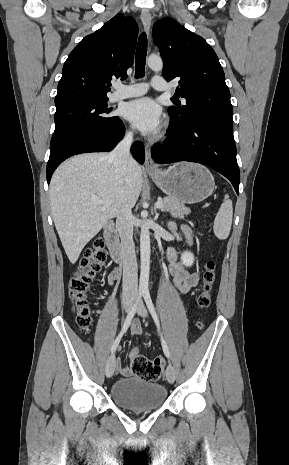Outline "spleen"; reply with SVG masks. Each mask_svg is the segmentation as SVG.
I'll use <instances>...</instances> for the list:
<instances>
[{"label":"spleen","mask_w":289,"mask_h":465,"mask_svg":"<svg viewBox=\"0 0 289 465\" xmlns=\"http://www.w3.org/2000/svg\"><path fill=\"white\" fill-rule=\"evenodd\" d=\"M233 206L228 195H225L223 203L216 214L213 231L215 236L220 240L228 238L232 225Z\"/></svg>","instance_id":"spleen-1"}]
</instances>
